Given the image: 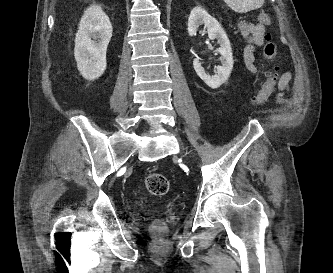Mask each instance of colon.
<instances>
[{
    "instance_id": "5ec220e1",
    "label": "colon",
    "mask_w": 333,
    "mask_h": 273,
    "mask_svg": "<svg viewBox=\"0 0 333 273\" xmlns=\"http://www.w3.org/2000/svg\"><path fill=\"white\" fill-rule=\"evenodd\" d=\"M259 21L265 25H271V17L266 13H261L258 16ZM263 57L267 61H273L276 57V45L272 41L270 34H266L263 45ZM278 81L277 68H273L267 72L265 79L258 88L253 103L255 105H263L273 94ZM147 191L154 196H163L169 190V181L163 174H150L145 181ZM154 229L157 232H162L165 229L163 221L157 220L154 223Z\"/></svg>"
}]
</instances>
